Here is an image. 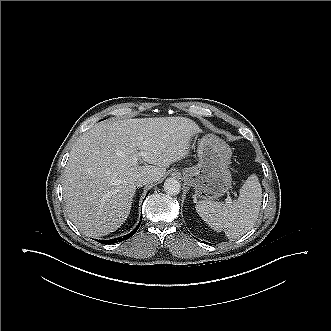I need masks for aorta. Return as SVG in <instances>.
I'll return each instance as SVG.
<instances>
[{"mask_svg": "<svg viewBox=\"0 0 331 331\" xmlns=\"http://www.w3.org/2000/svg\"><path fill=\"white\" fill-rule=\"evenodd\" d=\"M164 191L169 195H178L181 191V185L177 179L167 178L163 185Z\"/></svg>", "mask_w": 331, "mask_h": 331, "instance_id": "762f6f07", "label": "aorta"}]
</instances>
